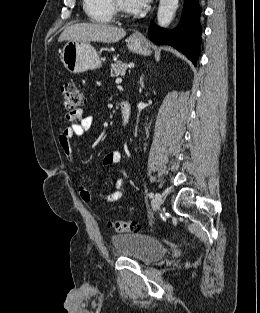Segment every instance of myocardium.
<instances>
[{
  "label": "myocardium",
  "instance_id": "myocardium-1",
  "mask_svg": "<svg viewBox=\"0 0 260 313\" xmlns=\"http://www.w3.org/2000/svg\"><path fill=\"white\" fill-rule=\"evenodd\" d=\"M109 2H110V6H111L114 14H116L120 17H128L129 16V13L119 5L118 0H109Z\"/></svg>",
  "mask_w": 260,
  "mask_h": 313
}]
</instances>
